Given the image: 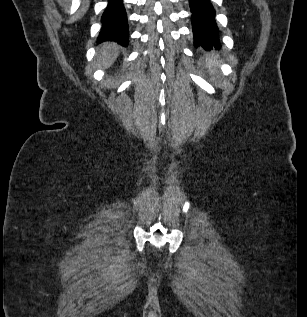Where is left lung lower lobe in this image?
Returning a JSON list of instances; mask_svg holds the SVG:
<instances>
[{"instance_id": "0a47b994", "label": "left lung lower lobe", "mask_w": 307, "mask_h": 317, "mask_svg": "<svg viewBox=\"0 0 307 317\" xmlns=\"http://www.w3.org/2000/svg\"><path fill=\"white\" fill-rule=\"evenodd\" d=\"M195 47L220 49L215 9L210 0H189Z\"/></svg>"}]
</instances>
